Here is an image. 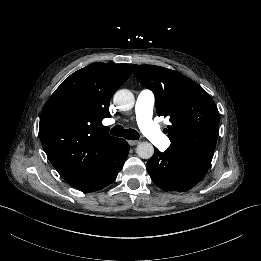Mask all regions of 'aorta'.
<instances>
[{"label":"aorta","mask_w":261,"mask_h":261,"mask_svg":"<svg viewBox=\"0 0 261 261\" xmlns=\"http://www.w3.org/2000/svg\"><path fill=\"white\" fill-rule=\"evenodd\" d=\"M113 103L120 110H130L134 105V95L128 89H120L115 92ZM137 154L142 159H150L154 154V147L149 142H142L137 147Z\"/></svg>","instance_id":"1"}]
</instances>
